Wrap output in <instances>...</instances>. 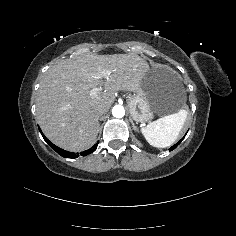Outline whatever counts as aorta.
<instances>
[{
    "instance_id": "762f6f07",
    "label": "aorta",
    "mask_w": 236,
    "mask_h": 236,
    "mask_svg": "<svg viewBox=\"0 0 236 236\" xmlns=\"http://www.w3.org/2000/svg\"><path fill=\"white\" fill-rule=\"evenodd\" d=\"M112 114L114 117L120 118L123 117L125 114V110L121 105H115L112 109Z\"/></svg>"
}]
</instances>
